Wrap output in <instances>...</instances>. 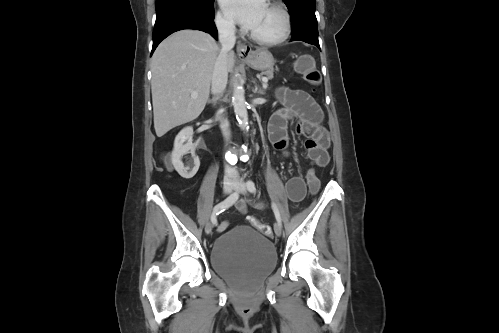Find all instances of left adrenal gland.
<instances>
[{"mask_svg":"<svg viewBox=\"0 0 499 333\" xmlns=\"http://www.w3.org/2000/svg\"><path fill=\"white\" fill-rule=\"evenodd\" d=\"M253 92H254V93H260V94H263V92H262V91H258L257 86H255V89L253 90Z\"/></svg>","mask_w":499,"mask_h":333,"instance_id":"a2214340","label":"left adrenal gland"}]
</instances>
